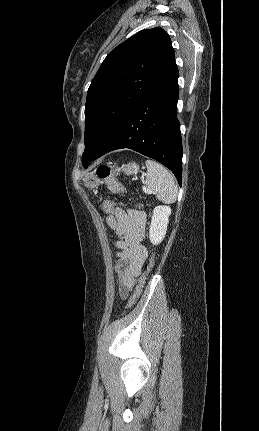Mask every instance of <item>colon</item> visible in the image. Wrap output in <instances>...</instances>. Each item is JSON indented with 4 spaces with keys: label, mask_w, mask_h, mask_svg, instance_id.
Instances as JSON below:
<instances>
[{
    "label": "colon",
    "mask_w": 259,
    "mask_h": 431,
    "mask_svg": "<svg viewBox=\"0 0 259 431\" xmlns=\"http://www.w3.org/2000/svg\"><path fill=\"white\" fill-rule=\"evenodd\" d=\"M117 172H115L112 167L109 164H101L96 169V176L103 182H105L109 188V190L115 194H121L124 191V188L122 184L117 179ZM138 209H143V204H138ZM101 208L104 212L108 213L109 216H114L115 214H122V211L120 209L124 208V205H122L121 201H116L115 203L110 200H105ZM154 259L151 257L150 262L145 269V271L140 275L136 287L132 293V295L129 298V301L127 303L126 309L132 308L138 301L146 278L153 266Z\"/></svg>",
    "instance_id": "obj_1"
}]
</instances>
